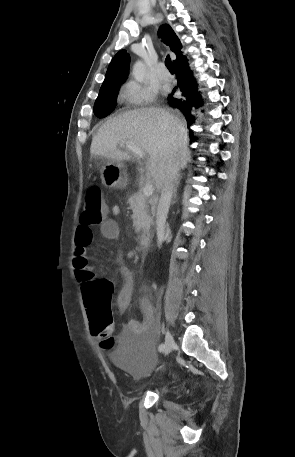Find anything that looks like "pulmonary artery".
I'll use <instances>...</instances> for the list:
<instances>
[{
  "mask_svg": "<svg viewBox=\"0 0 295 457\" xmlns=\"http://www.w3.org/2000/svg\"><path fill=\"white\" fill-rule=\"evenodd\" d=\"M159 77L163 81H168L171 78L170 73L168 72V70L165 68L164 65H161L159 68Z\"/></svg>",
  "mask_w": 295,
  "mask_h": 457,
  "instance_id": "1",
  "label": "pulmonary artery"
}]
</instances>
